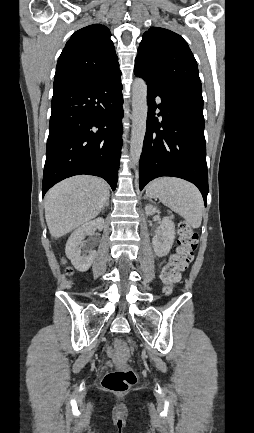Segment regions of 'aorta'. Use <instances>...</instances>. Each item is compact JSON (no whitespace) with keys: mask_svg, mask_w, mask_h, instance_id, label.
<instances>
[{"mask_svg":"<svg viewBox=\"0 0 254 433\" xmlns=\"http://www.w3.org/2000/svg\"><path fill=\"white\" fill-rule=\"evenodd\" d=\"M147 85L142 78H136L132 85V130L130 156L133 165L139 163L147 120Z\"/></svg>","mask_w":254,"mask_h":433,"instance_id":"aorta-1","label":"aorta"}]
</instances>
